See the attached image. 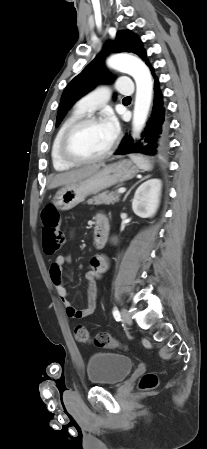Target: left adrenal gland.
<instances>
[{"label":"left adrenal gland","mask_w":207,"mask_h":449,"mask_svg":"<svg viewBox=\"0 0 207 449\" xmlns=\"http://www.w3.org/2000/svg\"><path fill=\"white\" fill-rule=\"evenodd\" d=\"M148 177H150V175H147V176L143 177L142 179H140L138 182H136V183H135V184L128 190V192L125 194V196H124V198H123V202L126 200V198L128 197V195L130 194L131 190H132L138 183H140L141 181L147 179Z\"/></svg>","instance_id":"obj_1"}]
</instances>
